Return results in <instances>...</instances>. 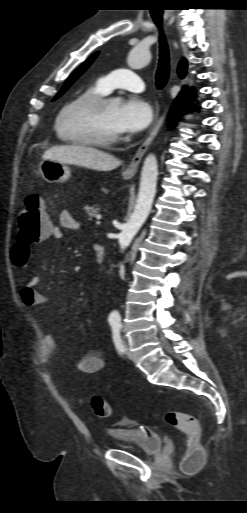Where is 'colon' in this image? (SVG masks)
I'll return each mask as SVG.
<instances>
[{
	"label": "colon",
	"instance_id": "obj_1",
	"mask_svg": "<svg viewBox=\"0 0 247 513\" xmlns=\"http://www.w3.org/2000/svg\"><path fill=\"white\" fill-rule=\"evenodd\" d=\"M52 223L42 196L33 193L26 197L25 204L18 217V228L15 243L11 251V259L15 266L27 263L33 245L43 240L50 232ZM91 408L98 417L105 418L110 414L108 403L101 397H93ZM165 422L186 435V451L181 467L187 473L196 472L203 464L205 453L200 445L201 429L192 415L168 411L162 415Z\"/></svg>",
	"mask_w": 247,
	"mask_h": 513
}]
</instances>
